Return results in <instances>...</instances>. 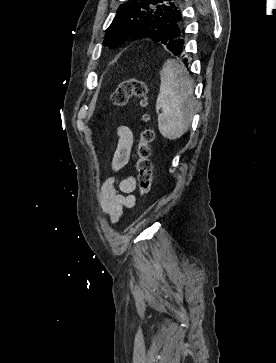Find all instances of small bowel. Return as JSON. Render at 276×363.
Instances as JSON below:
<instances>
[{
  "label": "small bowel",
  "instance_id": "c3829d8e",
  "mask_svg": "<svg viewBox=\"0 0 276 363\" xmlns=\"http://www.w3.org/2000/svg\"><path fill=\"white\" fill-rule=\"evenodd\" d=\"M116 134L118 140L111 166L114 172H119L130 163L134 136L132 130L124 125L117 128ZM135 188L136 179L131 175L120 180L110 177L103 182L97 200L102 212L112 223L120 220L125 208L135 205L136 197L133 194Z\"/></svg>",
  "mask_w": 276,
  "mask_h": 363
}]
</instances>
